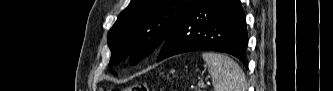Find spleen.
I'll return each instance as SVG.
<instances>
[{
	"mask_svg": "<svg viewBox=\"0 0 333 91\" xmlns=\"http://www.w3.org/2000/svg\"><path fill=\"white\" fill-rule=\"evenodd\" d=\"M212 76L214 91H246L243 70L225 54L205 52L202 54Z\"/></svg>",
	"mask_w": 333,
	"mask_h": 91,
	"instance_id": "spleen-1",
	"label": "spleen"
}]
</instances>
